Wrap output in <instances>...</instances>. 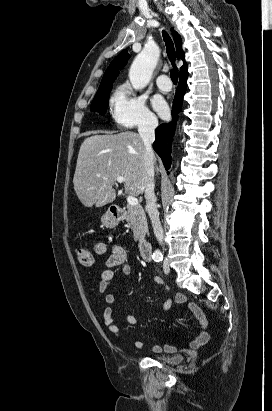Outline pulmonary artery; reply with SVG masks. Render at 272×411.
Wrapping results in <instances>:
<instances>
[{
    "label": "pulmonary artery",
    "instance_id": "1",
    "mask_svg": "<svg viewBox=\"0 0 272 411\" xmlns=\"http://www.w3.org/2000/svg\"><path fill=\"white\" fill-rule=\"evenodd\" d=\"M157 86L163 92H168L171 90V83L169 81V77L165 74L160 75L157 78Z\"/></svg>",
    "mask_w": 272,
    "mask_h": 411
}]
</instances>
